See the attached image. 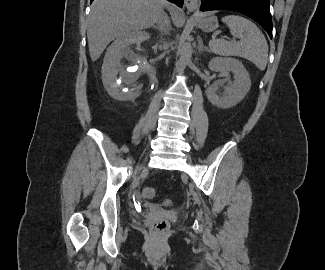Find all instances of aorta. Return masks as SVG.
Segmentation results:
<instances>
[{
	"label": "aorta",
	"instance_id": "aorta-1",
	"mask_svg": "<svg viewBox=\"0 0 325 270\" xmlns=\"http://www.w3.org/2000/svg\"><path fill=\"white\" fill-rule=\"evenodd\" d=\"M192 56V47L189 42H186L181 47V56L176 64V69L178 73H182L187 66V64L191 61Z\"/></svg>",
	"mask_w": 325,
	"mask_h": 270
}]
</instances>
